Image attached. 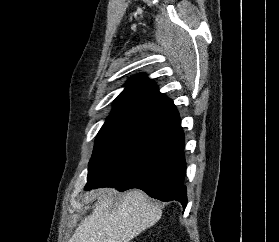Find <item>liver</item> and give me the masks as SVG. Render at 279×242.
Wrapping results in <instances>:
<instances>
[{
  "label": "liver",
  "instance_id": "1",
  "mask_svg": "<svg viewBox=\"0 0 279 242\" xmlns=\"http://www.w3.org/2000/svg\"><path fill=\"white\" fill-rule=\"evenodd\" d=\"M115 195L113 189L98 190L92 214L81 221L69 242H129L161 218V208L144 192L129 191L116 207Z\"/></svg>",
  "mask_w": 279,
  "mask_h": 242
}]
</instances>
